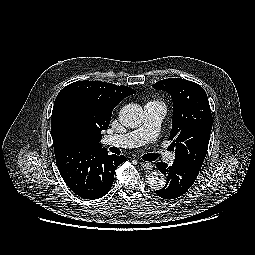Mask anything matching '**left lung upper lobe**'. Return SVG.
<instances>
[{
  "instance_id": "obj_1",
  "label": "left lung upper lobe",
  "mask_w": 255,
  "mask_h": 255,
  "mask_svg": "<svg viewBox=\"0 0 255 255\" xmlns=\"http://www.w3.org/2000/svg\"><path fill=\"white\" fill-rule=\"evenodd\" d=\"M170 94L174 112L170 140L175 160L201 169L212 129V114L205 90L195 82L168 78L152 85Z\"/></svg>"
}]
</instances>
